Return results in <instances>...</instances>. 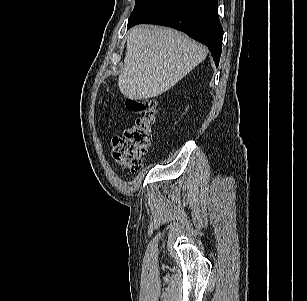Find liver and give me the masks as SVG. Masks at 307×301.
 Segmentation results:
<instances>
[{
  "instance_id": "liver-1",
  "label": "liver",
  "mask_w": 307,
  "mask_h": 301,
  "mask_svg": "<svg viewBox=\"0 0 307 301\" xmlns=\"http://www.w3.org/2000/svg\"><path fill=\"white\" fill-rule=\"evenodd\" d=\"M207 56V49L170 28L136 26L127 38L124 68L118 78L121 93L148 99L173 87Z\"/></svg>"
}]
</instances>
